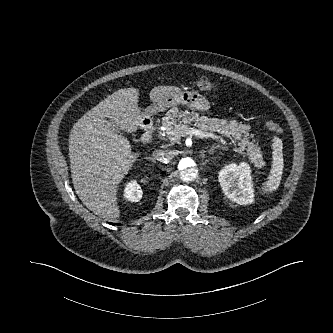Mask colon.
Listing matches in <instances>:
<instances>
[{"instance_id": "5ec220e1", "label": "colon", "mask_w": 333, "mask_h": 333, "mask_svg": "<svg viewBox=\"0 0 333 333\" xmlns=\"http://www.w3.org/2000/svg\"><path fill=\"white\" fill-rule=\"evenodd\" d=\"M193 86L199 90L213 89V83L205 77H202L193 82ZM265 126L274 134H281L283 132L281 126L272 120L265 121Z\"/></svg>"}]
</instances>
